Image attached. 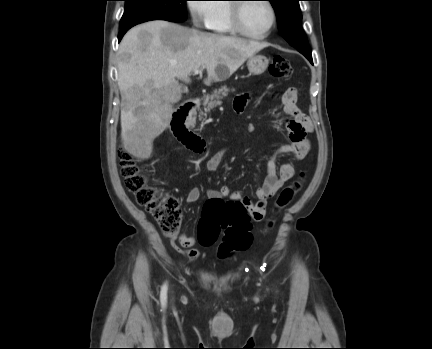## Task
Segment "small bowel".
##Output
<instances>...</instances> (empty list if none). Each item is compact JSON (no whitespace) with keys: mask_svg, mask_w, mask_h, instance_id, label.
<instances>
[{"mask_svg":"<svg viewBox=\"0 0 432 349\" xmlns=\"http://www.w3.org/2000/svg\"><path fill=\"white\" fill-rule=\"evenodd\" d=\"M250 99L251 96L248 93L237 95L233 103L234 111L242 113ZM281 102L284 113L289 116V119L286 121L288 143L281 146L268 161L264 183L256 190V201L242 196L227 185L219 190L209 189L207 191L210 200H223L225 197H229L230 200L244 203L251 215V219L255 222L264 219L267 200L273 197L294 175L293 164L284 163L278 169L276 157L280 154H292L295 160H302L310 150V141L307 135L313 132L314 127L310 118L297 106L296 89L288 88L282 94ZM228 149L229 147H224L209 157L206 161V169L208 171H216ZM200 197L201 190L193 187L186 196V202L188 204L195 203ZM195 241V237L192 235L183 233L178 236L179 244L186 249V254L191 260L199 257V251L192 248Z\"/></svg>","mask_w":432,"mask_h":349,"instance_id":"c3829d8e","label":"small bowel"}]
</instances>
